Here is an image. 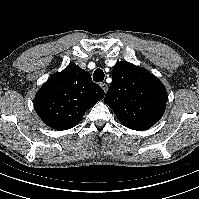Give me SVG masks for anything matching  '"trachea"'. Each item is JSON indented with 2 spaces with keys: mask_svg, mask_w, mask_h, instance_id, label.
Returning <instances> with one entry per match:
<instances>
[{
  "mask_svg": "<svg viewBox=\"0 0 199 199\" xmlns=\"http://www.w3.org/2000/svg\"><path fill=\"white\" fill-rule=\"evenodd\" d=\"M93 80L95 82H102L104 80V72L102 69H96L93 73Z\"/></svg>",
  "mask_w": 199,
  "mask_h": 199,
  "instance_id": "obj_1",
  "label": "trachea"
}]
</instances>
